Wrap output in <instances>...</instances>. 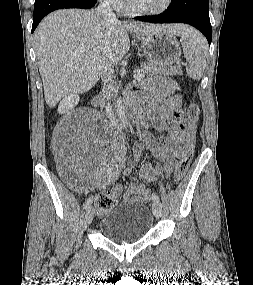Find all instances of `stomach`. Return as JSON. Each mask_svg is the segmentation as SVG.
Instances as JSON below:
<instances>
[{
	"label": "stomach",
	"mask_w": 253,
	"mask_h": 285,
	"mask_svg": "<svg viewBox=\"0 0 253 285\" xmlns=\"http://www.w3.org/2000/svg\"><path fill=\"white\" fill-rule=\"evenodd\" d=\"M140 40L141 49L152 64L167 67L176 63L181 57L179 42L172 33L161 31L144 35Z\"/></svg>",
	"instance_id": "stomach-1"
}]
</instances>
